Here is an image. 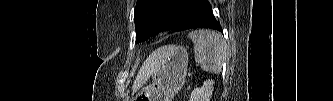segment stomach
<instances>
[{
	"label": "stomach",
	"mask_w": 333,
	"mask_h": 101,
	"mask_svg": "<svg viewBox=\"0 0 333 101\" xmlns=\"http://www.w3.org/2000/svg\"><path fill=\"white\" fill-rule=\"evenodd\" d=\"M158 69L153 74L152 84L144 87L136 101H172L184 85L188 53L184 47L169 45L161 48Z\"/></svg>",
	"instance_id": "stomach-1"
}]
</instances>
